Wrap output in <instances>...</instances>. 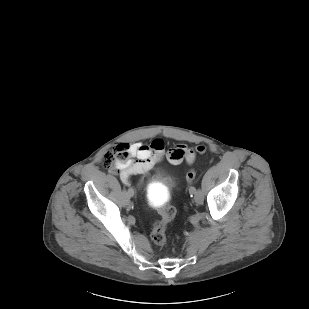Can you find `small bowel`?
Here are the masks:
<instances>
[{
	"label": "small bowel",
	"mask_w": 309,
	"mask_h": 309,
	"mask_svg": "<svg viewBox=\"0 0 309 309\" xmlns=\"http://www.w3.org/2000/svg\"><path fill=\"white\" fill-rule=\"evenodd\" d=\"M132 159L119 167L121 179L127 184L133 175L146 174L165 158V143L154 139L150 143L133 142L130 145ZM169 162L191 164L196 158L195 150L186 144H179L167 156Z\"/></svg>",
	"instance_id": "small-bowel-1"
}]
</instances>
